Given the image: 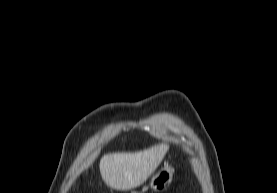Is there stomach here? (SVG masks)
I'll use <instances>...</instances> for the list:
<instances>
[{
	"label": "stomach",
	"instance_id": "1",
	"mask_svg": "<svg viewBox=\"0 0 277 193\" xmlns=\"http://www.w3.org/2000/svg\"><path fill=\"white\" fill-rule=\"evenodd\" d=\"M173 174L174 168L168 163H165L164 166L151 177L149 186L156 191L165 190L171 185Z\"/></svg>",
	"mask_w": 277,
	"mask_h": 193
}]
</instances>
